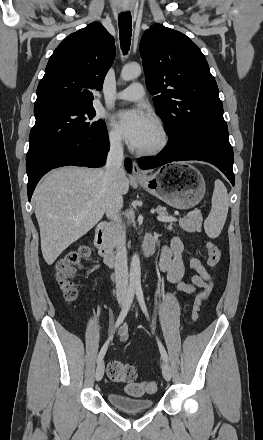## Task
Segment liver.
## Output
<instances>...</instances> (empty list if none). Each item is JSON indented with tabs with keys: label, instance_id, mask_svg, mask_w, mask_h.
Listing matches in <instances>:
<instances>
[{
	"label": "liver",
	"instance_id": "liver-1",
	"mask_svg": "<svg viewBox=\"0 0 263 440\" xmlns=\"http://www.w3.org/2000/svg\"><path fill=\"white\" fill-rule=\"evenodd\" d=\"M122 194L129 190L125 172ZM44 260L52 265L72 243L91 230L106 212L104 169L64 167L52 171L33 194Z\"/></svg>",
	"mask_w": 263,
	"mask_h": 440
}]
</instances>
